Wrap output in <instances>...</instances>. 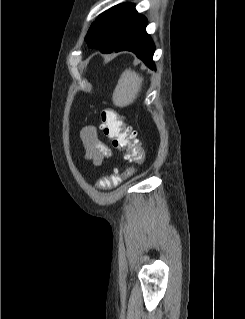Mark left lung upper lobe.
<instances>
[{
  "label": "left lung upper lobe",
  "instance_id": "5c2ea615",
  "mask_svg": "<svg viewBox=\"0 0 245 319\" xmlns=\"http://www.w3.org/2000/svg\"><path fill=\"white\" fill-rule=\"evenodd\" d=\"M136 13L134 4L125 3L116 5L100 14L91 25L85 38L89 47L112 46Z\"/></svg>",
  "mask_w": 245,
  "mask_h": 319
}]
</instances>
